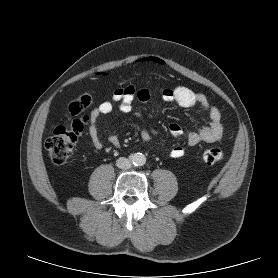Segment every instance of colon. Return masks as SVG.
<instances>
[{
    "label": "colon",
    "instance_id": "colon-1",
    "mask_svg": "<svg viewBox=\"0 0 278 278\" xmlns=\"http://www.w3.org/2000/svg\"><path fill=\"white\" fill-rule=\"evenodd\" d=\"M92 105L90 94H83L72 101L67 108V121L57 126L45 141V148L56 165H62L71 157L78 138L83 132L87 117L84 115ZM204 163L212 165L223 160L224 153L218 147L207 148L202 152Z\"/></svg>",
    "mask_w": 278,
    "mask_h": 278
}]
</instances>
